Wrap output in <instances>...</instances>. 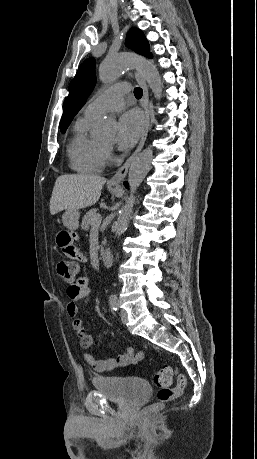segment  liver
<instances>
[{"instance_id":"6515ba94","label":"liver","mask_w":257,"mask_h":459,"mask_svg":"<svg viewBox=\"0 0 257 459\" xmlns=\"http://www.w3.org/2000/svg\"><path fill=\"white\" fill-rule=\"evenodd\" d=\"M106 179L94 174L62 175L56 179L50 199V213L78 210L94 205Z\"/></svg>"}]
</instances>
